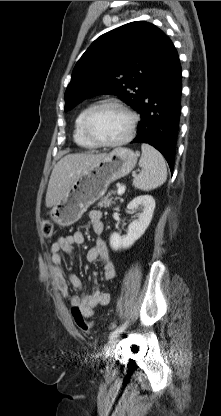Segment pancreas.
Instances as JSON below:
<instances>
[{
  "label": "pancreas",
  "instance_id": "pancreas-1",
  "mask_svg": "<svg viewBox=\"0 0 221 416\" xmlns=\"http://www.w3.org/2000/svg\"><path fill=\"white\" fill-rule=\"evenodd\" d=\"M111 194H112V193H108V195H106L104 198H102V199L98 202L97 206H98V207H100V208H102V207H104V208L111 207V206H112V204H114V203H115V202L113 201V198L111 197ZM115 200H117V198H115Z\"/></svg>",
  "mask_w": 221,
  "mask_h": 416
}]
</instances>
